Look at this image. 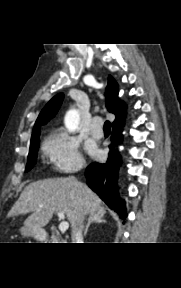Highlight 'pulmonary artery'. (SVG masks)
<instances>
[{
  "mask_svg": "<svg viewBox=\"0 0 181 288\" xmlns=\"http://www.w3.org/2000/svg\"><path fill=\"white\" fill-rule=\"evenodd\" d=\"M90 133L94 138H101L103 136V129L101 127V119L95 117L91 126Z\"/></svg>",
  "mask_w": 181,
  "mask_h": 288,
  "instance_id": "1",
  "label": "pulmonary artery"
}]
</instances>
